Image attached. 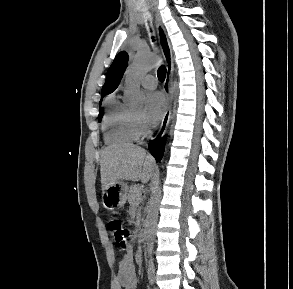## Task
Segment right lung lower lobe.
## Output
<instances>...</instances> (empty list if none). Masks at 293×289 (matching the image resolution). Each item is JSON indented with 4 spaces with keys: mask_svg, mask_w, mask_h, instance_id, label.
<instances>
[{
    "mask_svg": "<svg viewBox=\"0 0 293 289\" xmlns=\"http://www.w3.org/2000/svg\"><path fill=\"white\" fill-rule=\"evenodd\" d=\"M166 142V136L163 139L157 138L152 143L149 144V150L151 154L156 158V160H160L162 158L164 152V146Z\"/></svg>",
    "mask_w": 293,
    "mask_h": 289,
    "instance_id": "right-lung-lower-lobe-1",
    "label": "right lung lower lobe"
}]
</instances>
